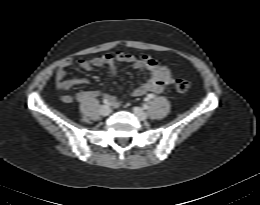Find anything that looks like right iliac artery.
Wrapping results in <instances>:
<instances>
[{
  "label": "right iliac artery",
  "mask_w": 260,
  "mask_h": 205,
  "mask_svg": "<svg viewBox=\"0 0 260 205\" xmlns=\"http://www.w3.org/2000/svg\"><path fill=\"white\" fill-rule=\"evenodd\" d=\"M104 104H109V100L108 99H103L102 101Z\"/></svg>",
  "instance_id": "right-iliac-artery-1"
}]
</instances>
